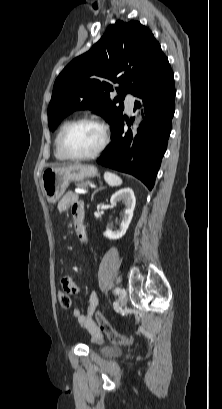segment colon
<instances>
[{
  "instance_id": "obj_1",
  "label": "colon",
  "mask_w": 222,
  "mask_h": 409,
  "mask_svg": "<svg viewBox=\"0 0 222 409\" xmlns=\"http://www.w3.org/2000/svg\"><path fill=\"white\" fill-rule=\"evenodd\" d=\"M69 288L70 286L63 287L62 290L58 292V301L62 308L68 309L71 307V297L69 296ZM95 316L97 321L101 327V329L107 334L109 340L113 343L118 344H128L133 340L131 336H125L117 333L106 320V318L101 315L100 312H96Z\"/></svg>"
}]
</instances>
